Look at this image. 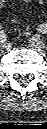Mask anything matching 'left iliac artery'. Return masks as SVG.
I'll list each match as a JSON object with an SVG mask.
<instances>
[{
  "mask_svg": "<svg viewBox=\"0 0 47 129\" xmlns=\"http://www.w3.org/2000/svg\"><path fill=\"white\" fill-rule=\"evenodd\" d=\"M38 31L41 32V33H46L47 32V27L46 25H41L39 28H38Z\"/></svg>",
  "mask_w": 47,
  "mask_h": 129,
  "instance_id": "44dca946",
  "label": "left iliac artery"
}]
</instances>
